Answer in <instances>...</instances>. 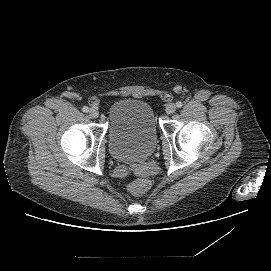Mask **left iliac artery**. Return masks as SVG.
Returning a JSON list of instances; mask_svg holds the SVG:
<instances>
[{
    "label": "left iliac artery",
    "mask_w": 271,
    "mask_h": 271,
    "mask_svg": "<svg viewBox=\"0 0 271 271\" xmlns=\"http://www.w3.org/2000/svg\"><path fill=\"white\" fill-rule=\"evenodd\" d=\"M176 106H177L178 108H181V107L183 106V103H182L181 101H178V102L176 103Z\"/></svg>",
    "instance_id": "obj_1"
}]
</instances>
